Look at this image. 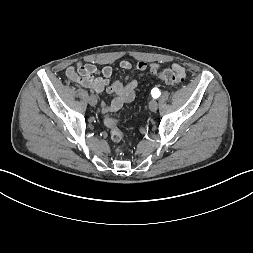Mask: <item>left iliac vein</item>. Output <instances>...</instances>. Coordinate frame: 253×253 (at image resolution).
Listing matches in <instances>:
<instances>
[{
    "mask_svg": "<svg viewBox=\"0 0 253 253\" xmlns=\"http://www.w3.org/2000/svg\"><path fill=\"white\" fill-rule=\"evenodd\" d=\"M149 109H150L152 112H155V111L158 109V102H157V100L152 99V100L149 102Z\"/></svg>",
    "mask_w": 253,
    "mask_h": 253,
    "instance_id": "obj_1",
    "label": "left iliac vein"
}]
</instances>
